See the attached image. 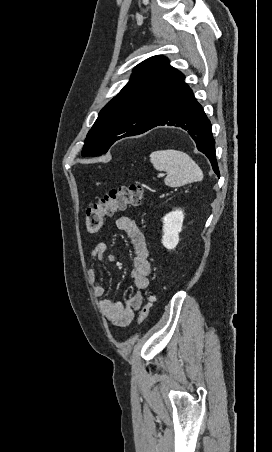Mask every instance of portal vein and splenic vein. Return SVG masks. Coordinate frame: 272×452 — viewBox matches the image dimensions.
<instances>
[{"label":"portal vein and splenic vein","mask_w":272,"mask_h":452,"mask_svg":"<svg viewBox=\"0 0 272 452\" xmlns=\"http://www.w3.org/2000/svg\"><path fill=\"white\" fill-rule=\"evenodd\" d=\"M160 176H164V174H160Z\"/></svg>","instance_id":"1"}]
</instances>
